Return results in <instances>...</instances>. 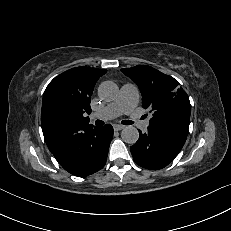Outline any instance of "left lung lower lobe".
I'll return each mask as SVG.
<instances>
[{
	"label": "left lung lower lobe",
	"mask_w": 231,
	"mask_h": 231,
	"mask_svg": "<svg viewBox=\"0 0 231 231\" xmlns=\"http://www.w3.org/2000/svg\"><path fill=\"white\" fill-rule=\"evenodd\" d=\"M130 147L134 161L141 167L158 170L167 166L182 149L187 134L166 127L149 125Z\"/></svg>",
	"instance_id": "0a47b994"
}]
</instances>
